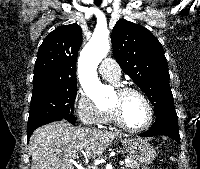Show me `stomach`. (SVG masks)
<instances>
[{"label":"stomach","instance_id":"0dacf381","mask_svg":"<svg viewBox=\"0 0 200 169\" xmlns=\"http://www.w3.org/2000/svg\"><path fill=\"white\" fill-rule=\"evenodd\" d=\"M121 143L126 148L130 159L137 164V166L148 165L156 157L154 148L141 138H123Z\"/></svg>","mask_w":200,"mask_h":169}]
</instances>
